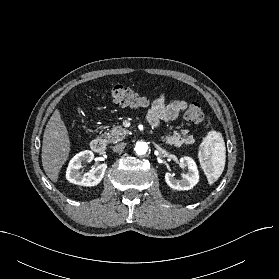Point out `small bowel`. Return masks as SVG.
<instances>
[{
    "instance_id": "small-bowel-1",
    "label": "small bowel",
    "mask_w": 279,
    "mask_h": 279,
    "mask_svg": "<svg viewBox=\"0 0 279 279\" xmlns=\"http://www.w3.org/2000/svg\"><path fill=\"white\" fill-rule=\"evenodd\" d=\"M187 107L188 103L185 100H173L167 103L165 94L161 93L152 102L147 118L153 126H158L162 121L175 120Z\"/></svg>"
}]
</instances>
